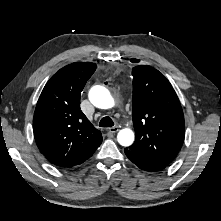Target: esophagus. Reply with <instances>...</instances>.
<instances>
[{"mask_svg":"<svg viewBox=\"0 0 221 221\" xmlns=\"http://www.w3.org/2000/svg\"><path fill=\"white\" fill-rule=\"evenodd\" d=\"M118 130H119L118 127H110L106 129V131L109 133H116Z\"/></svg>","mask_w":221,"mask_h":221,"instance_id":"1","label":"esophagus"}]
</instances>
